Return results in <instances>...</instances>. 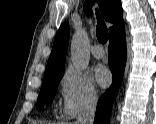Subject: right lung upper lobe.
I'll return each mask as SVG.
<instances>
[{
	"instance_id": "1",
	"label": "right lung upper lobe",
	"mask_w": 156,
	"mask_h": 124,
	"mask_svg": "<svg viewBox=\"0 0 156 124\" xmlns=\"http://www.w3.org/2000/svg\"><path fill=\"white\" fill-rule=\"evenodd\" d=\"M104 19L114 24L109 29L110 36L119 30L124 29V22L122 19V6L120 0H97ZM93 0H87L84 6L85 13L92 14L91 6ZM68 23H63L54 39L51 55L48 59L44 78L63 73L65 64V56L69 39Z\"/></svg>"
}]
</instances>
